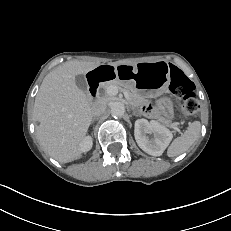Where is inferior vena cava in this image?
Returning a JSON list of instances; mask_svg holds the SVG:
<instances>
[{
  "mask_svg": "<svg viewBox=\"0 0 231 231\" xmlns=\"http://www.w3.org/2000/svg\"><path fill=\"white\" fill-rule=\"evenodd\" d=\"M106 110V103L102 100L96 101L92 105V116L97 117L102 115Z\"/></svg>",
  "mask_w": 231,
  "mask_h": 231,
  "instance_id": "602c4592",
  "label": "inferior vena cava"
}]
</instances>
